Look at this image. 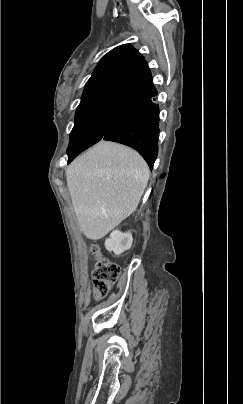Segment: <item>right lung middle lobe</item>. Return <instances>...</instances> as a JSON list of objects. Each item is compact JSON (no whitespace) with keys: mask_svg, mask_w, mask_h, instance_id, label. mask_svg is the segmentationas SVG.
Segmentation results:
<instances>
[{"mask_svg":"<svg viewBox=\"0 0 243 404\" xmlns=\"http://www.w3.org/2000/svg\"><path fill=\"white\" fill-rule=\"evenodd\" d=\"M126 105L124 102L106 101L77 108L75 125L70 133L67 149L68 163L82 151L99 142Z\"/></svg>","mask_w":243,"mask_h":404,"instance_id":"1","label":"right lung middle lobe"}]
</instances>
